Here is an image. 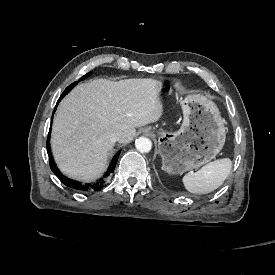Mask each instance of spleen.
I'll return each mask as SVG.
<instances>
[{
	"mask_svg": "<svg viewBox=\"0 0 275 275\" xmlns=\"http://www.w3.org/2000/svg\"><path fill=\"white\" fill-rule=\"evenodd\" d=\"M232 161L229 158L218 159L203 166L195 173L183 177L187 191L194 194H207L220 187L229 176Z\"/></svg>",
	"mask_w": 275,
	"mask_h": 275,
	"instance_id": "1",
	"label": "spleen"
}]
</instances>
